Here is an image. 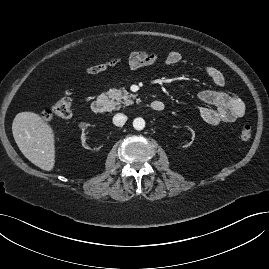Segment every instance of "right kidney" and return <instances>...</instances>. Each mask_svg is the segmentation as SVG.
<instances>
[{
    "label": "right kidney",
    "instance_id": "right-kidney-1",
    "mask_svg": "<svg viewBox=\"0 0 269 269\" xmlns=\"http://www.w3.org/2000/svg\"><path fill=\"white\" fill-rule=\"evenodd\" d=\"M89 126H90V124L84 123V122H81L79 124V127L82 129V135H81L82 145L86 149H90V150H101L104 147V144L101 141H89V140H86L84 131Z\"/></svg>",
    "mask_w": 269,
    "mask_h": 269
}]
</instances>
